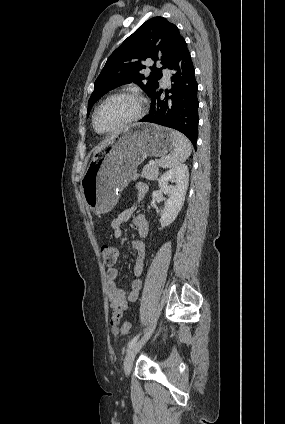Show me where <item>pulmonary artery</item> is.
Segmentation results:
<instances>
[{"label": "pulmonary artery", "instance_id": "obj_1", "mask_svg": "<svg viewBox=\"0 0 285 424\" xmlns=\"http://www.w3.org/2000/svg\"><path fill=\"white\" fill-rule=\"evenodd\" d=\"M169 80H170V78H169V75H168V70H164V75H163L162 81H163L164 84H168Z\"/></svg>", "mask_w": 285, "mask_h": 424}]
</instances>
